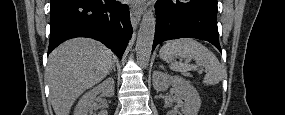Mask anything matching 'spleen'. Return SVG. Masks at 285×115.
Masks as SVG:
<instances>
[{
  "label": "spleen",
  "instance_id": "3e777b00",
  "mask_svg": "<svg viewBox=\"0 0 285 115\" xmlns=\"http://www.w3.org/2000/svg\"><path fill=\"white\" fill-rule=\"evenodd\" d=\"M178 56L187 60H195L196 65L177 62L175 58ZM160 57L165 62L170 63V69L175 72H187L197 70L198 67H204L206 75L203 83L206 85H216L224 76L223 67L215 54L203 44L191 38L167 42L160 50Z\"/></svg>",
  "mask_w": 285,
  "mask_h": 115
}]
</instances>
